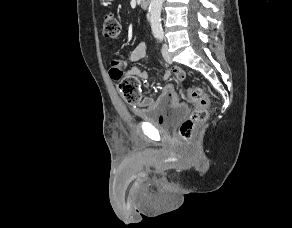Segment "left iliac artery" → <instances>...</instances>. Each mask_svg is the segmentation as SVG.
I'll return each mask as SVG.
<instances>
[{"mask_svg":"<svg viewBox=\"0 0 292 228\" xmlns=\"http://www.w3.org/2000/svg\"><path fill=\"white\" fill-rule=\"evenodd\" d=\"M157 37L162 40L163 39V34H158Z\"/></svg>","mask_w":292,"mask_h":228,"instance_id":"44dca946","label":"left iliac artery"}]
</instances>
